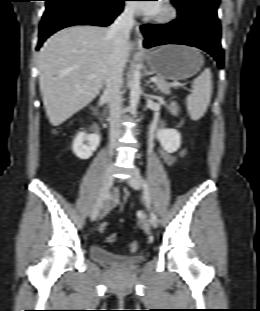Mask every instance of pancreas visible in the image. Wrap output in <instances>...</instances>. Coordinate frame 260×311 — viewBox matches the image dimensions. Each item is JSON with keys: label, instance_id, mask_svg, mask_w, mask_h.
<instances>
[{"label": "pancreas", "instance_id": "cf45deb5", "mask_svg": "<svg viewBox=\"0 0 260 311\" xmlns=\"http://www.w3.org/2000/svg\"><path fill=\"white\" fill-rule=\"evenodd\" d=\"M156 78L158 79V81L155 82L157 89L164 94H170L171 88L174 87L175 84L168 83L161 77Z\"/></svg>", "mask_w": 260, "mask_h": 311}]
</instances>
